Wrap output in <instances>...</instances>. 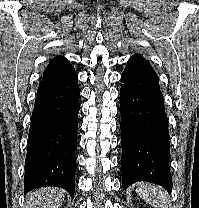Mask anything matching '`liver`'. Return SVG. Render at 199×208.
I'll return each instance as SVG.
<instances>
[{
    "label": "liver",
    "mask_w": 199,
    "mask_h": 208,
    "mask_svg": "<svg viewBox=\"0 0 199 208\" xmlns=\"http://www.w3.org/2000/svg\"><path fill=\"white\" fill-rule=\"evenodd\" d=\"M65 191L57 187L40 188L27 197L26 208H59L64 201Z\"/></svg>",
    "instance_id": "obj_1"
}]
</instances>
